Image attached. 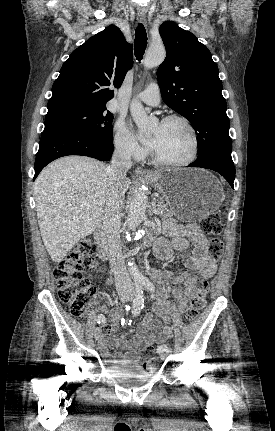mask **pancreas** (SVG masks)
I'll use <instances>...</instances> for the list:
<instances>
[{
	"label": "pancreas",
	"instance_id": "obj_1",
	"mask_svg": "<svg viewBox=\"0 0 275 431\" xmlns=\"http://www.w3.org/2000/svg\"><path fill=\"white\" fill-rule=\"evenodd\" d=\"M159 210L162 212L163 218H169L174 215V213L169 209L167 203H165L162 199L158 202Z\"/></svg>",
	"mask_w": 275,
	"mask_h": 431
}]
</instances>
